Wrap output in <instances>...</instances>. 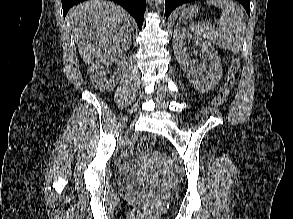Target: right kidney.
<instances>
[{
  "label": "right kidney",
  "instance_id": "1",
  "mask_svg": "<svg viewBox=\"0 0 293 219\" xmlns=\"http://www.w3.org/2000/svg\"><path fill=\"white\" fill-rule=\"evenodd\" d=\"M112 63L117 64V69L113 75L108 76L106 69ZM125 63L126 58L123 55L99 58L88 69V74L92 84L101 91L112 90L122 75Z\"/></svg>",
  "mask_w": 293,
  "mask_h": 219
}]
</instances>
